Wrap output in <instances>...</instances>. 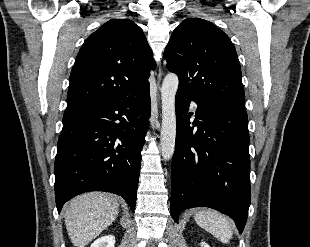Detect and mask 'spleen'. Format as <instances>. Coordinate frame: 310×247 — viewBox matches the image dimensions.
<instances>
[{
	"mask_svg": "<svg viewBox=\"0 0 310 247\" xmlns=\"http://www.w3.org/2000/svg\"><path fill=\"white\" fill-rule=\"evenodd\" d=\"M196 223L223 243L232 238V226L226 216L212 209H204L195 213Z\"/></svg>",
	"mask_w": 310,
	"mask_h": 247,
	"instance_id": "3e777b00",
	"label": "spleen"
}]
</instances>
